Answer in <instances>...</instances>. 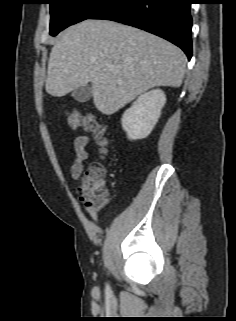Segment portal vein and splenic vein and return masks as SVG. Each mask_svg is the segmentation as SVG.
Listing matches in <instances>:
<instances>
[{"label": "portal vein and splenic vein", "mask_w": 236, "mask_h": 321, "mask_svg": "<svg viewBox=\"0 0 236 321\" xmlns=\"http://www.w3.org/2000/svg\"><path fill=\"white\" fill-rule=\"evenodd\" d=\"M110 70H111V71H114V70H115V68H114V67H111V68H110Z\"/></svg>", "instance_id": "18ae733b"}]
</instances>
